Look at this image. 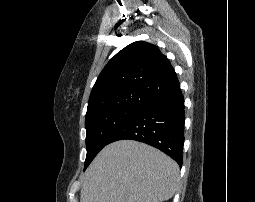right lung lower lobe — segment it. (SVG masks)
Listing matches in <instances>:
<instances>
[{
  "mask_svg": "<svg viewBox=\"0 0 255 202\" xmlns=\"http://www.w3.org/2000/svg\"><path fill=\"white\" fill-rule=\"evenodd\" d=\"M184 98L179 89L141 107L108 141L131 139L154 146L181 167L184 144Z\"/></svg>",
  "mask_w": 255,
  "mask_h": 202,
  "instance_id": "obj_1",
  "label": "right lung lower lobe"
}]
</instances>
